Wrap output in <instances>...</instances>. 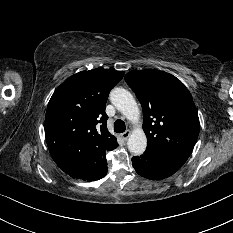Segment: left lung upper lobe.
<instances>
[{"mask_svg":"<svg viewBox=\"0 0 233 233\" xmlns=\"http://www.w3.org/2000/svg\"><path fill=\"white\" fill-rule=\"evenodd\" d=\"M125 80L143 108L146 150L187 160L200 128L188 89L173 75L155 69L133 70Z\"/></svg>","mask_w":233,"mask_h":233,"instance_id":"obj_1","label":"left lung upper lobe"}]
</instances>
